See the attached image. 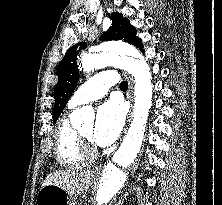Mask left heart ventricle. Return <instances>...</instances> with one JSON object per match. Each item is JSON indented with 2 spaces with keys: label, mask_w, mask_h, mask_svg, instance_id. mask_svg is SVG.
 I'll return each instance as SVG.
<instances>
[{
  "label": "left heart ventricle",
  "mask_w": 222,
  "mask_h": 205,
  "mask_svg": "<svg viewBox=\"0 0 222 205\" xmlns=\"http://www.w3.org/2000/svg\"><path fill=\"white\" fill-rule=\"evenodd\" d=\"M93 130H94V125L93 123L92 124H89L88 126L84 127L80 132L88 137V138H92V135H93Z\"/></svg>",
  "instance_id": "b2bd125f"
}]
</instances>
